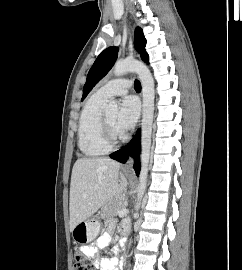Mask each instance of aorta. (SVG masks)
Returning <instances> with one entry per match:
<instances>
[{"mask_svg": "<svg viewBox=\"0 0 242 270\" xmlns=\"http://www.w3.org/2000/svg\"><path fill=\"white\" fill-rule=\"evenodd\" d=\"M128 72H135L142 85V96H143V110H142V135H141V170L139 174V184L137 187V203L135 206L136 212L134 217L138 215L140 209L141 200L144 196L148 168L150 161V149H151V136L152 126L154 118V99H155V88L154 80L150 70L142 62L134 59H125L117 61L113 67V73L115 76H121ZM106 112L116 113L118 111L117 102L110 100L105 106Z\"/></svg>", "mask_w": 242, "mask_h": 270, "instance_id": "obj_1", "label": "aorta"}]
</instances>
